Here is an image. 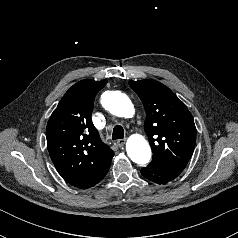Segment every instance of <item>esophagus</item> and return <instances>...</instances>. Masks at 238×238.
<instances>
[{"instance_id":"34e87169","label":"esophagus","mask_w":238,"mask_h":238,"mask_svg":"<svg viewBox=\"0 0 238 238\" xmlns=\"http://www.w3.org/2000/svg\"><path fill=\"white\" fill-rule=\"evenodd\" d=\"M125 142H126L125 139H118L116 141V144H117V146L122 147V146H124Z\"/></svg>"}]
</instances>
